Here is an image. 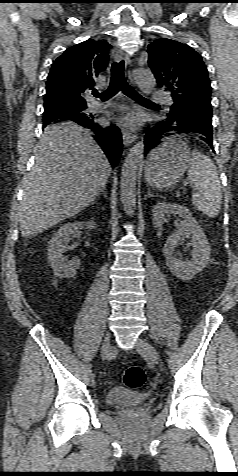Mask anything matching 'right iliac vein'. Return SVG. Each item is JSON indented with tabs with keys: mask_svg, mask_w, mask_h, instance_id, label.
I'll use <instances>...</instances> for the list:
<instances>
[{
	"mask_svg": "<svg viewBox=\"0 0 238 476\" xmlns=\"http://www.w3.org/2000/svg\"><path fill=\"white\" fill-rule=\"evenodd\" d=\"M112 351H113V347L110 342V336L107 335L104 339V342L101 348V355L103 359L108 358L112 354Z\"/></svg>",
	"mask_w": 238,
	"mask_h": 476,
	"instance_id": "63e3f726",
	"label": "right iliac vein"
}]
</instances>
